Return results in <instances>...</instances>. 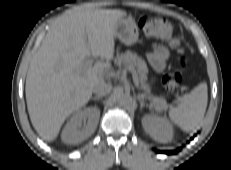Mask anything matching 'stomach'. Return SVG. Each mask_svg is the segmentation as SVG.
<instances>
[{
    "label": "stomach",
    "mask_w": 231,
    "mask_h": 170,
    "mask_svg": "<svg viewBox=\"0 0 231 170\" xmlns=\"http://www.w3.org/2000/svg\"><path fill=\"white\" fill-rule=\"evenodd\" d=\"M115 37L127 46L137 43L139 32L134 19L131 16L121 17L115 26Z\"/></svg>",
    "instance_id": "stomach-1"
}]
</instances>
